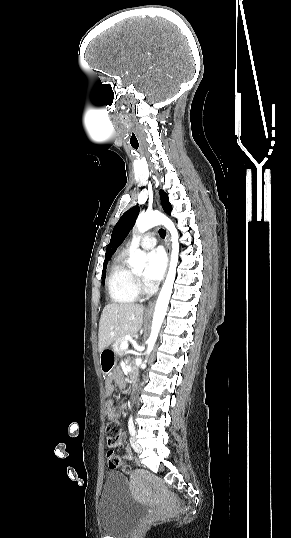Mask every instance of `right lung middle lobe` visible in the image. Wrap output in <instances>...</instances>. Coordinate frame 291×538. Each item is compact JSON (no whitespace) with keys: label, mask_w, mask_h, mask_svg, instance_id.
I'll list each match as a JSON object with an SVG mask.
<instances>
[{"label":"right lung middle lobe","mask_w":291,"mask_h":538,"mask_svg":"<svg viewBox=\"0 0 291 538\" xmlns=\"http://www.w3.org/2000/svg\"><path fill=\"white\" fill-rule=\"evenodd\" d=\"M108 262H105L104 265H103V271H102V280L104 281L105 280V277H106V265H107Z\"/></svg>","instance_id":"1"}]
</instances>
